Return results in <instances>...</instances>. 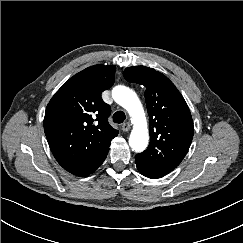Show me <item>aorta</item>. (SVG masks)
<instances>
[{
    "mask_svg": "<svg viewBox=\"0 0 243 243\" xmlns=\"http://www.w3.org/2000/svg\"><path fill=\"white\" fill-rule=\"evenodd\" d=\"M112 97L132 117L134 127L129 138L130 147L135 152L144 151L148 145L149 134L145 113L139 98L133 90L122 85L113 88Z\"/></svg>",
    "mask_w": 243,
    "mask_h": 243,
    "instance_id": "1",
    "label": "aorta"
}]
</instances>
